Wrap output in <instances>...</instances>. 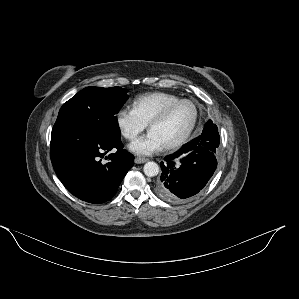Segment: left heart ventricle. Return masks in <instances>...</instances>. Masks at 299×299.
Returning a JSON list of instances; mask_svg holds the SVG:
<instances>
[{"mask_svg":"<svg viewBox=\"0 0 299 299\" xmlns=\"http://www.w3.org/2000/svg\"><path fill=\"white\" fill-rule=\"evenodd\" d=\"M194 117L192 105L183 103L175 108L161 123L153 126V132L163 146L177 140L191 125Z\"/></svg>","mask_w":299,"mask_h":299,"instance_id":"obj_1","label":"left heart ventricle"}]
</instances>
